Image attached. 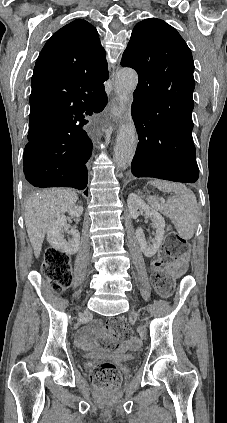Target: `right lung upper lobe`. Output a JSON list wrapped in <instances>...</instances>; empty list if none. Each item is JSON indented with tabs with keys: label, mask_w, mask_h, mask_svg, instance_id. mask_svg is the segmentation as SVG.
Instances as JSON below:
<instances>
[{
	"label": "right lung upper lobe",
	"mask_w": 227,
	"mask_h": 423,
	"mask_svg": "<svg viewBox=\"0 0 227 423\" xmlns=\"http://www.w3.org/2000/svg\"><path fill=\"white\" fill-rule=\"evenodd\" d=\"M107 79L105 50L97 30L84 20H75L59 29L41 50L31 81L30 106L107 102L103 86ZM69 125L63 119L30 121L28 141L44 140Z\"/></svg>",
	"instance_id": "1"
}]
</instances>
